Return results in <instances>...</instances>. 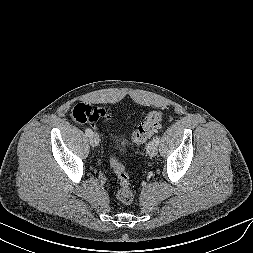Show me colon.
Instances as JSON below:
<instances>
[{"label":"colon","mask_w":253,"mask_h":253,"mask_svg":"<svg viewBox=\"0 0 253 253\" xmlns=\"http://www.w3.org/2000/svg\"><path fill=\"white\" fill-rule=\"evenodd\" d=\"M71 116L78 123H87L95 119L96 113L94 108L85 104H78L73 107ZM161 119L162 113L160 111H151L143 122L132 132L133 141L143 143L148 140L159 127ZM110 165L119 181L117 190L118 200L125 205L131 204L134 200V193L124 165L116 156L110 159Z\"/></svg>","instance_id":"5ec220e1"}]
</instances>
